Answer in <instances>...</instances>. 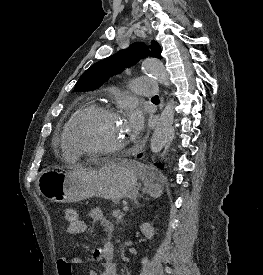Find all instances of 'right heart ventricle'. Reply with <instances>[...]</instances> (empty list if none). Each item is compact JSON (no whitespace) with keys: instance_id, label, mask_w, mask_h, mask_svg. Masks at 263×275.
<instances>
[{"instance_id":"e07e8e85","label":"right heart ventricle","mask_w":263,"mask_h":275,"mask_svg":"<svg viewBox=\"0 0 263 275\" xmlns=\"http://www.w3.org/2000/svg\"><path fill=\"white\" fill-rule=\"evenodd\" d=\"M92 106L91 102H87L84 105H82L72 116L71 118L68 120V122L65 124L64 127V131H63V152L64 154L70 158V159H75L77 158L78 154L74 151V149L72 148V146L70 145L69 141H68V135H69V131L70 128L74 122V120L76 119L77 116H79L82 112H84L85 110H87L88 108H90Z\"/></svg>"}]
</instances>
